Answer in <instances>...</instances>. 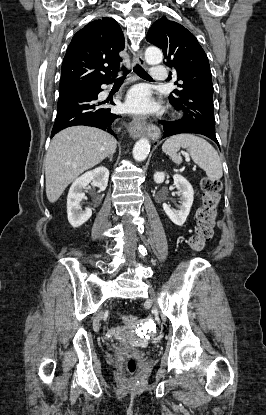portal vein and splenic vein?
<instances>
[{"mask_svg":"<svg viewBox=\"0 0 266 415\" xmlns=\"http://www.w3.org/2000/svg\"><path fill=\"white\" fill-rule=\"evenodd\" d=\"M186 160H187V161H190V158H189V157H186Z\"/></svg>","mask_w":266,"mask_h":415,"instance_id":"portal-vein-and-splenic-vein-1","label":"portal vein and splenic vein"}]
</instances>
